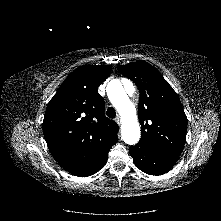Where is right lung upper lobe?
<instances>
[{"label":"right lung upper lobe","instance_id":"obj_1","mask_svg":"<svg viewBox=\"0 0 221 221\" xmlns=\"http://www.w3.org/2000/svg\"><path fill=\"white\" fill-rule=\"evenodd\" d=\"M110 65L75 69L48 103L43 133L55 160L67 171L91 163L117 142L118 125L104 114L98 87Z\"/></svg>","mask_w":221,"mask_h":221}]
</instances>
